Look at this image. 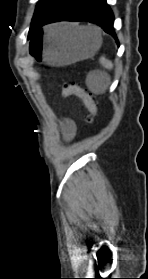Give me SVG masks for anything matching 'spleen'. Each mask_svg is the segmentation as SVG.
I'll return each instance as SVG.
<instances>
[{
	"label": "spleen",
	"instance_id": "3e777b00",
	"mask_svg": "<svg viewBox=\"0 0 148 279\" xmlns=\"http://www.w3.org/2000/svg\"><path fill=\"white\" fill-rule=\"evenodd\" d=\"M80 30L85 33H93L99 31L96 27H80ZM56 31L57 30H52V33ZM100 64L106 69L113 68V63L104 57L100 58ZM109 80L110 78L106 73H99L96 76L89 77L87 80V84L94 93L103 94L109 85Z\"/></svg>",
	"mask_w": 148,
	"mask_h": 279
}]
</instances>
